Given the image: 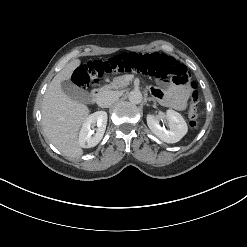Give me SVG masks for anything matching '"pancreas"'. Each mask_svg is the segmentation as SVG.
Wrapping results in <instances>:
<instances>
[{"label": "pancreas", "instance_id": "cf45deb5", "mask_svg": "<svg viewBox=\"0 0 247 247\" xmlns=\"http://www.w3.org/2000/svg\"><path fill=\"white\" fill-rule=\"evenodd\" d=\"M128 84H129V81L127 80L126 75L118 76V77H115L109 85L102 87L101 92H105L111 89L119 90V89L126 87Z\"/></svg>", "mask_w": 247, "mask_h": 247}]
</instances>
